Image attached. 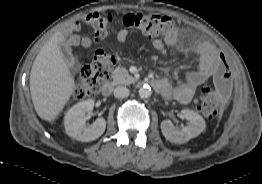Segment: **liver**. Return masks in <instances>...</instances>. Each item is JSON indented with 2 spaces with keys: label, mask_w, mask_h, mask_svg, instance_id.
Instances as JSON below:
<instances>
[{
  "label": "liver",
  "mask_w": 262,
  "mask_h": 184,
  "mask_svg": "<svg viewBox=\"0 0 262 184\" xmlns=\"http://www.w3.org/2000/svg\"><path fill=\"white\" fill-rule=\"evenodd\" d=\"M65 36L56 32L36 56L30 73V91L38 116L53 121L69 101L75 81L63 59L59 44Z\"/></svg>",
  "instance_id": "liver-1"
}]
</instances>
